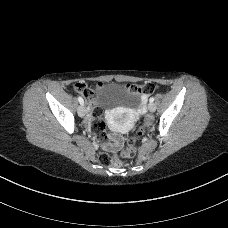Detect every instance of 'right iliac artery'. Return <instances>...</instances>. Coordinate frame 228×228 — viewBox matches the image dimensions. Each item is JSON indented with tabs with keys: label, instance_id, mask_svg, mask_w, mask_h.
<instances>
[{
	"label": "right iliac artery",
	"instance_id": "obj_1",
	"mask_svg": "<svg viewBox=\"0 0 228 228\" xmlns=\"http://www.w3.org/2000/svg\"><path fill=\"white\" fill-rule=\"evenodd\" d=\"M78 101L80 102V104H83L84 103V101H83V98L82 97H78Z\"/></svg>",
	"mask_w": 228,
	"mask_h": 228
}]
</instances>
